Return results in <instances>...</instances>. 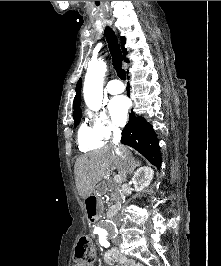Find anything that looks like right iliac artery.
<instances>
[{
    "mask_svg": "<svg viewBox=\"0 0 221 266\" xmlns=\"http://www.w3.org/2000/svg\"><path fill=\"white\" fill-rule=\"evenodd\" d=\"M100 232H101V231H95V233H97V234L100 233Z\"/></svg>",
    "mask_w": 221,
    "mask_h": 266,
    "instance_id": "1",
    "label": "right iliac artery"
}]
</instances>
